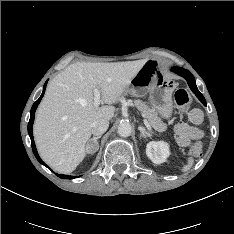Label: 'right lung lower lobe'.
<instances>
[{"mask_svg": "<svg viewBox=\"0 0 234 234\" xmlns=\"http://www.w3.org/2000/svg\"><path fill=\"white\" fill-rule=\"evenodd\" d=\"M46 84L47 82L45 83L44 87H43V92L40 96V98L33 104L32 106V109H31V112H30V120H29V123H28V133L30 135V138H31V145H32V150H33V153L35 155V157L37 158V160L45 165L47 167V165L41 160V158L39 157L38 153H37V150H36V147H35V143H34V140H33V133H32V126H33V122H34V117H35V110L38 106V104L40 103L44 93H45V89H46ZM60 178L62 179H73L74 177L73 176H67V175H58Z\"/></svg>", "mask_w": 234, "mask_h": 234, "instance_id": "obj_1", "label": "right lung lower lobe"}]
</instances>
